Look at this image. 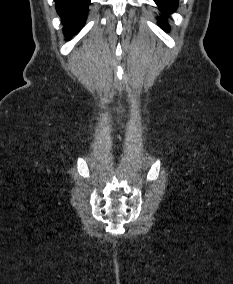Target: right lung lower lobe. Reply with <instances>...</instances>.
I'll use <instances>...</instances> for the list:
<instances>
[{
    "instance_id": "right-lung-lower-lobe-1",
    "label": "right lung lower lobe",
    "mask_w": 233,
    "mask_h": 284,
    "mask_svg": "<svg viewBox=\"0 0 233 284\" xmlns=\"http://www.w3.org/2000/svg\"><path fill=\"white\" fill-rule=\"evenodd\" d=\"M66 36L75 35L84 25L90 0H55Z\"/></svg>"
}]
</instances>
